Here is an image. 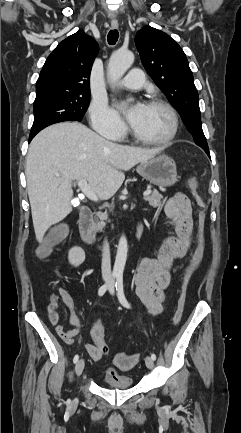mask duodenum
I'll use <instances>...</instances> for the list:
<instances>
[{
    "label": "duodenum",
    "mask_w": 241,
    "mask_h": 433,
    "mask_svg": "<svg viewBox=\"0 0 241 433\" xmlns=\"http://www.w3.org/2000/svg\"><path fill=\"white\" fill-rule=\"evenodd\" d=\"M142 229V221L137 222L133 230V237L135 240H139ZM79 231L80 236L85 244L90 246L96 244V238L92 228V211L89 208H84L80 213Z\"/></svg>",
    "instance_id": "1"
}]
</instances>
